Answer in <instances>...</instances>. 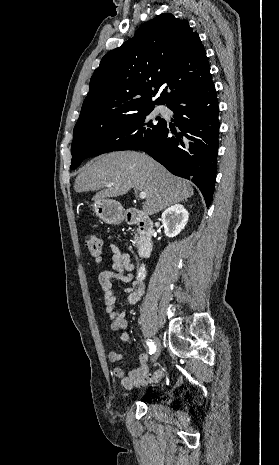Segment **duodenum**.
<instances>
[{
    "label": "duodenum",
    "instance_id": "410a0bca",
    "mask_svg": "<svg viewBox=\"0 0 279 465\" xmlns=\"http://www.w3.org/2000/svg\"><path fill=\"white\" fill-rule=\"evenodd\" d=\"M125 221L128 224L136 225L139 234L138 254L141 259L150 257L153 250V222L152 220L137 210H129L125 214ZM145 267H139L137 279L143 280L145 277Z\"/></svg>",
    "mask_w": 279,
    "mask_h": 465
}]
</instances>
